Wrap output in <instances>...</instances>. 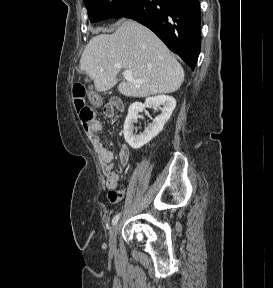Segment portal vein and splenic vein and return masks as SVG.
<instances>
[{"mask_svg": "<svg viewBox=\"0 0 273 288\" xmlns=\"http://www.w3.org/2000/svg\"><path fill=\"white\" fill-rule=\"evenodd\" d=\"M123 76L127 81H131V82H134L136 84L140 83V81L133 80V75H132V72L130 70L123 71Z\"/></svg>", "mask_w": 273, "mask_h": 288, "instance_id": "1", "label": "portal vein and splenic vein"}]
</instances>
